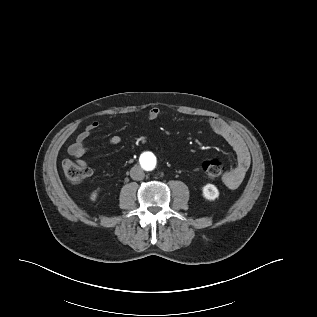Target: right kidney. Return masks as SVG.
I'll use <instances>...</instances> for the list:
<instances>
[{"instance_id":"obj_1","label":"right kidney","mask_w":317,"mask_h":317,"mask_svg":"<svg viewBox=\"0 0 317 317\" xmlns=\"http://www.w3.org/2000/svg\"><path fill=\"white\" fill-rule=\"evenodd\" d=\"M96 196H97V193H96V192L92 193V195H91V200H95V199H96Z\"/></svg>"}]
</instances>
